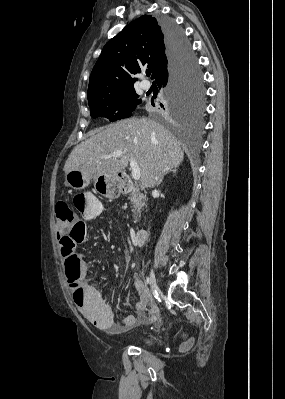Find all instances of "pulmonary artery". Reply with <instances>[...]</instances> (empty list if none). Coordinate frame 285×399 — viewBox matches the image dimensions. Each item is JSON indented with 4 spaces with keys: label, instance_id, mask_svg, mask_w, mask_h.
I'll return each instance as SVG.
<instances>
[{
    "label": "pulmonary artery",
    "instance_id": "e3ab8cb5",
    "mask_svg": "<svg viewBox=\"0 0 285 399\" xmlns=\"http://www.w3.org/2000/svg\"><path fill=\"white\" fill-rule=\"evenodd\" d=\"M151 87V84L148 80L141 81V88L144 90H148Z\"/></svg>",
    "mask_w": 285,
    "mask_h": 399
}]
</instances>
